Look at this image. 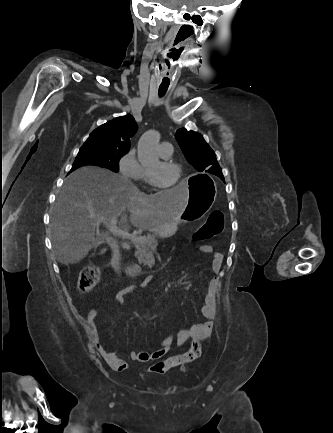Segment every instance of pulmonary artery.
<instances>
[{
  "instance_id": "1",
  "label": "pulmonary artery",
  "mask_w": 333,
  "mask_h": 433,
  "mask_svg": "<svg viewBox=\"0 0 333 433\" xmlns=\"http://www.w3.org/2000/svg\"><path fill=\"white\" fill-rule=\"evenodd\" d=\"M172 153H173V146L170 143L162 142L159 145V154L161 155V157L168 158L172 155Z\"/></svg>"
}]
</instances>
